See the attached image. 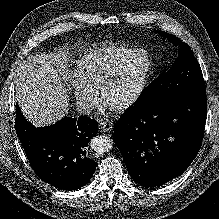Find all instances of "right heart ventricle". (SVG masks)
<instances>
[{
  "mask_svg": "<svg viewBox=\"0 0 219 219\" xmlns=\"http://www.w3.org/2000/svg\"><path fill=\"white\" fill-rule=\"evenodd\" d=\"M135 49L126 44H107L83 51L75 63L76 76L97 89L109 68L123 55Z\"/></svg>",
  "mask_w": 219,
  "mask_h": 219,
  "instance_id": "right-heart-ventricle-1",
  "label": "right heart ventricle"
}]
</instances>
